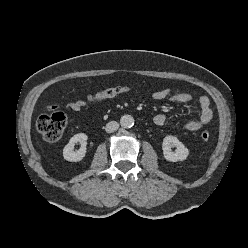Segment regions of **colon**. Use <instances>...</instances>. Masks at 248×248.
Here are the masks:
<instances>
[{
  "mask_svg": "<svg viewBox=\"0 0 248 248\" xmlns=\"http://www.w3.org/2000/svg\"><path fill=\"white\" fill-rule=\"evenodd\" d=\"M128 90L129 87L122 85L105 87L89 93L86 96V101L88 103H94L109 100ZM66 122V116L62 112H53L41 115L37 119L36 128L44 140L54 142L61 138L66 127ZM201 139L205 142L209 141L210 133L208 131L202 132Z\"/></svg>",
  "mask_w": 248,
  "mask_h": 248,
  "instance_id": "colon-1",
  "label": "colon"
}]
</instances>
